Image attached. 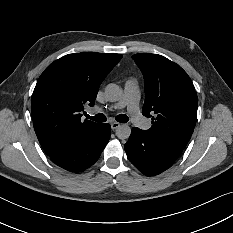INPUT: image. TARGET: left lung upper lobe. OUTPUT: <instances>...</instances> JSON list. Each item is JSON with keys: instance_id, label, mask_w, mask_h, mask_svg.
Masks as SVG:
<instances>
[{"instance_id": "1", "label": "left lung upper lobe", "mask_w": 233, "mask_h": 233, "mask_svg": "<svg viewBox=\"0 0 233 233\" xmlns=\"http://www.w3.org/2000/svg\"><path fill=\"white\" fill-rule=\"evenodd\" d=\"M143 73L145 103L142 114L152 118L147 136L186 147L196 124L198 98L187 73L164 56H132Z\"/></svg>"}]
</instances>
